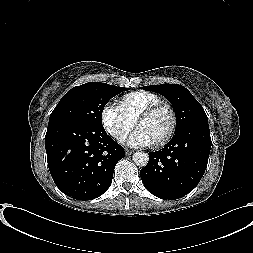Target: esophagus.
Here are the masks:
<instances>
[{
	"mask_svg": "<svg viewBox=\"0 0 253 253\" xmlns=\"http://www.w3.org/2000/svg\"><path fill=\"white\" fill-rule=\"evenodd\" d=\"M132 153H134L133 150L126 149V154H127V155H131Z\"/></svg>",
	"mask_w": 253,
	"mask_h": 253,
	"instance_id": "esophagus-1",
	"label": "esophagus"
}]
</instances>
